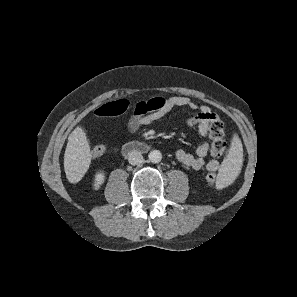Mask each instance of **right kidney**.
<instances>
[{
  "instance_id": "ca27d5eb",
  "label": "right kidney",
  "mask_w": 297,
  "mask_h": 297,
  "mask_svg": "<svg viewBox=\"0 0 297 297\" xmlns=\"http://www.w3.org/2000/svg\"><path fill=\"white\" fill-rule=\"evenodd\" d=\"M105 176L102 172L96 173L94 176V188L98 189L104 182Z\"/></svg>"
}]
</instances>
